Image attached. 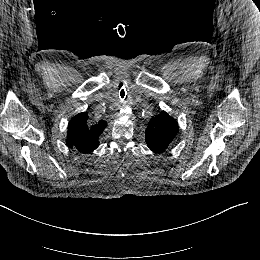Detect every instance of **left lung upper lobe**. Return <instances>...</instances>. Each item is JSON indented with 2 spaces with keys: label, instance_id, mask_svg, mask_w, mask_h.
I'll return each mask as SVG.
<instances>
[{
  "label": "left lung upper lobe",
  "instance_id": "obj_1",
  "mask_svg": "<svg viewBox=\"0 0 260 260\" xmlns=\"http://www.w3.org/2000/svg\"><path fill=\"white\" fill-rule=\"evenodd\" d=\"M179 128L177 121L162 111L152 118L145 132L147 146L155 153H162L175 141Z\"/></svg>",
  "mask_w": 260,
  "mask_h": 260
}]
</instances>
